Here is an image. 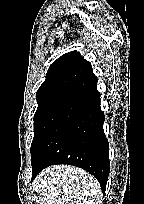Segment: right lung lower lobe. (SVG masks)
<instances>
[{"label":"right lung lower lobe","instance_id":"98d812e1","mask_svg":"<svg viewBox=\"0 0 144 204\" xmlns=\"http://www.w3.org/2000/svg\"><path fill=\"white\" fill-rule=\"evenodd\" d=\"M104 120L97 87L76 97L32 163V180L48 166L70 164L94 175L104 192L110 169Z\"/></svg>","mask_w":144,"mask_h":204}]
</instances>
